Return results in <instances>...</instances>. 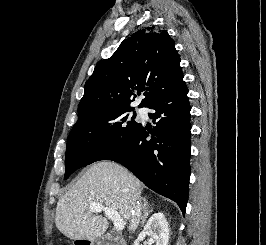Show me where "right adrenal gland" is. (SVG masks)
Listing matches in <instances>:
<instances>
[{
	"instance_id": "obj_1",
	"label": "right adrenal gland",
	"mask_w": 266,
	"mask_h": 245,
	"mask_svg": "<svg viewBox=\"0 0 266 245\" xmlns=\"http://www.w3.org/2000/svg\"><path fill=\"white\" fill-rule=\"evenodd\" d=\"M144 207H143V217L141 219L140 227H144V223L148 217V213H152V205H148L147 199H143Z\"/></svg>"
}]
</instances>
